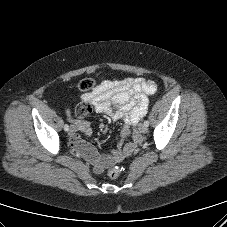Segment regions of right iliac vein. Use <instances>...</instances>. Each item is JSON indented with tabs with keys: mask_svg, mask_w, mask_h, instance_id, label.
Segmentation results:
<instances>
[{
	"mask_svg": "<svg viewBox=\"0 0 227 227\" xmlns=\"http://www.w3.org/2000/svg\"><path fill=\"white\" fill-rule=\"evenodd\" d=\"M75 132V128L72 126L70 129H69V135H72L73 133Z\"/></svg>",
	"mask_w": 227,
	"mask_h": 227,
	"instance_id": "right-iliac-vein-1",
	"label": "right iliac vein"
}]
</instances>
